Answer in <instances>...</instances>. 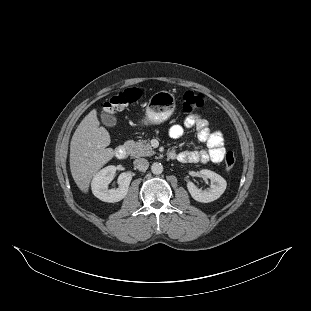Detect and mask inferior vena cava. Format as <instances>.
I'll return each instance as SVG.
<instances>
[{"label":"inferior vena cava","instance_id":"inferior-vena-cava-1","mask_svg":"<svg viewBox=\"0 0 311 311\" xmlns=\"http://www.w3.org/2000/svg\"><path fill=\"white\" fill-rule=\"evenodd\" d=\"M134 166L141 172H145L148 167H149V162L144 159V158H140V159H136L134 161Z\"/></svg>","mask_w":311,"mask_h":311}]
</instances>
